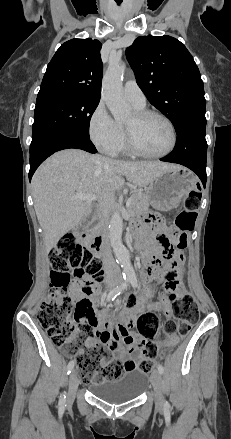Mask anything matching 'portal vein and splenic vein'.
Returning a JSON list of instances; mask_svg holds the SVG:
<instances>
[{
    "label": "portal vein and splenic vein",
    "mask_w": 231,
    "mask_h": 439,
    "mask_svg": "<svg viewBox=\"0 0 231 439\" xmlns=\"http://www.w3.org/2000/svg\"><path fill=\"white\" fill-rule=\"evenodd\" d=\"M73 200H85V201H93L96 199V196L93 194H89V193H78L75 194L72 197ZM131 204V198L128 199V201L126 202V206L127 208L130 206Z\"/></svg>",
    "instance_id": "obj_1"
}]
</instances>
